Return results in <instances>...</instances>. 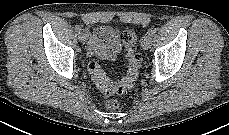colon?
Returning <instances> with one entry per match:
<instances>
[{
	"label": "colon",
	"mask_w": 229,
	"mask_h": 135,
	"mask_svg": "<svg viewBox=\"0 0 229 135\" xmlns=\"http://www.w3.org/2000/svg\"><path fill=\"white\" fill-rule=\"evenodd\" d=\"M136 40L137 35L133 29H126L121 34V41L126 51L127 59L126 75L121 80H110L100 64L95 61H91L88 64V71L93 82L104 94H122L137 80L141 65V55L137 51ZM104 104L108 109H117L119 107V102L112 98L106 99Z\"/></svg>",
	"instance_id": "obj_1"
}]
</instances>
